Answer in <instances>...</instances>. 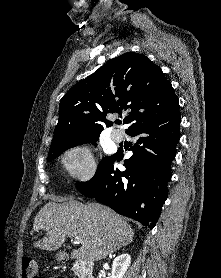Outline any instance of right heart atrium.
<instances>
[{
    "label": "right heart atrium",
    "mask_w": 221,
    "mask_h": 278,
    "mask_svg": "<svg viewBox=\"0 0 221 278\" xmlns=\"http://www.w3.org/2000/svg\"><path fill=\"white\" fill-rule=\"evenodd\" d=\"M61 163L68 175L79 181H89L97 172L95 159L86 143L69 146L61 156Z\"/></svg>",
    "instance_id": "obj_1"
}]
</instances>
